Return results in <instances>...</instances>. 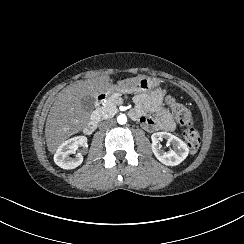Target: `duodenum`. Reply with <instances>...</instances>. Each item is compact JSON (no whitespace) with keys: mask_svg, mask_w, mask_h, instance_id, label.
Masks as SVG:
<instances>
[{"mask_svg":"<svg viewBox=\"0 0 244 244\" xmlns=\"http://www.w3.org/2000/svg\"><path fill=\"white\" fill-rule=\"evenodd\" d=\"M106 100V95L103 92H100L97 95V100L95 101V106L96 107H102L103 106V101ZM97 127V117L93 116L90 118V120L84 125L83 127V132L85 135H92L93 132L95 131Z\"/></svg>","mask_w":244,"mask_h":244,"instance_id":"410a0bca","label":"duodenum"}]
</instances>
